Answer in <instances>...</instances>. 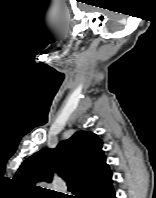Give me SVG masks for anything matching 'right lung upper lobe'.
Wrapping results in <instances>:
<instances>
[{"label":"right lung upper lobe","mask_w":156,"mask_h":198,"mask_svg":"<svg viewBox=\"0 0 156 198\" xmlns=\"http://www.w3.org/2000/svg\"><path fill=\"white\" fill-rule=\"evenodd\" d=\"M54 171L80 198H99L112 187L102 141L93 132H76L57 148H44L33 154L22 163L14 179L34 188L39 181L51 182Z\"/></svg>","instance_id":"1"}]
</instances>
